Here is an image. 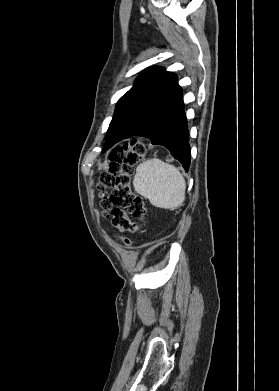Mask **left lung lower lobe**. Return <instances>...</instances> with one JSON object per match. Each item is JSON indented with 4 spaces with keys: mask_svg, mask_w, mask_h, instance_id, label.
Masks as SVG:
<instances>
[{
    "mask_svg": "<svg viewBox=\"0 0 279 391\" xmlns=\"http://www.w3.org/2000/svg\"><path fill=\"white\" fill-rule=\"evenodd\" d=\"M134 136L149 138L152 144L166 147L188 171L191 156L183 97Z\"/></svg>",
    "mask_w": 279,
    "mask_h": 391,
    "instance_id": "left-lung-lower-lobe-1",
    "label": "left lung lower lobe"
}]
</instances>
